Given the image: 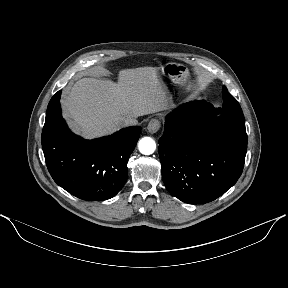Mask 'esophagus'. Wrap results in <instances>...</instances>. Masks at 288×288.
I'll use <instances>...</instances> for the list:
<instances>
[{"mask_svg": "<svg viewBox=\"0 0 288 288\" xmlns=\"http://www.w3.org/2000/svg\"><path fill=\"white\" fill-rule=\"evenodd\" d=\"M160 127H161L160 120L153 118L149 121L147 125V130L149 133L154 134L160 129Z\"/></svg>", "mask_w": 288, "mask_h": 288, "instance_id": "obj_1", "label": "esophagus"}]
</instances>
